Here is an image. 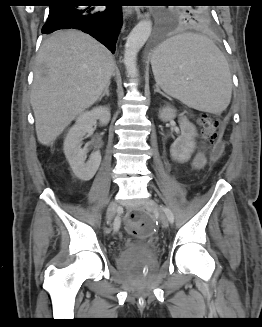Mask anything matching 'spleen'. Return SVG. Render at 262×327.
Instances as JSON below:
<instances>
[{
  "label": "spleen",
  "instance_id": "obj_1",
  "mask_svg": "<svg viewBox=\"0 0 262 327\" xmlns=\"http://www.w3.org/2000/svg\"><path fill=\"white\" fill-rule=\"evenodd\" d=\"M151 65L157 85L188 107L221 114L230 103L228 62L205 36L183 33L167 39L154 51Z\"/></svg>",
  "mask_w": 262,
  "mask_h": 327
}]
</instances>
